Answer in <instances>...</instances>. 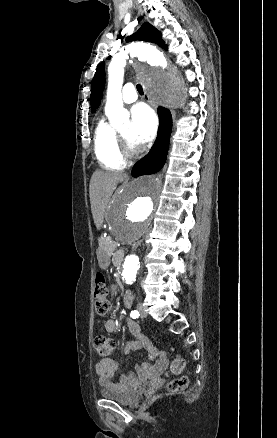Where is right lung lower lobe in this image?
Returning a JSON list of instances; mask_svg holds the SVG:
<instances>
[{
	"mask_svg": "<svg viewBox=\"0 0 277 438\" xmlns=\"http://www.w3.org/2000/svg\"><path fill=\"white\" fill-rule=\"evenodd\" d=\"M158 115L160 125L156 141L150 152L133 167L134 177L156 173L165 164L172 131V116L170 111L163 107L158 108Z\"/></svg>",
	"mask_w": 277,
	"mask_h": 438,
	"instance_id": "1",
	"label": "right lung lower lobe"
}]
</instances>
